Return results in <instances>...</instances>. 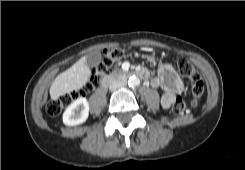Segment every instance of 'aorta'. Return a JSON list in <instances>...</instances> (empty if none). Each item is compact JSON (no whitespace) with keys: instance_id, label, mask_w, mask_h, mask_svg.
<instances>
[{"instance_id":"obj_1","label":"aorta","mask_w":245,"mask_h":170,"mask_svg":"<svg viewBox=\"0 0 245 170\" xmlns=\"http://www.w3.org/2000/svg\"><path fill=\"white\" fill-rule=\"evenodd\" d=\"M128 83H129V86L136 87L140 84V79L136 76H132L129 78Z\"/></svg>"}]
</instances>
